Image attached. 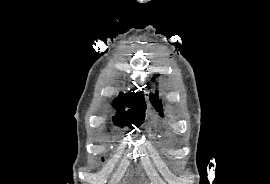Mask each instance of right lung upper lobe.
Returning <instances> with one entry per match:
<instances>
[{
  "label": "right lung upper lobe",
  "mask_w": 270,
  "mask_h": 184,
  "mask_svg": "<svg viewBox=\"0 0 270 184\" xmlns=\"http://www.w3.org/2000/svg\"><path fill=\"white\" fill-rule=\"evenodd\" d=\"M117 114L113 117V122L119 126L135 124L139 121L144 120L145 116V101L142 92L139 94L130 93H120L115 101ZM124 106L130 108L128 111H123Z\"/></svg>",
  "instance_id": "obj_1"
}]
</instances>
